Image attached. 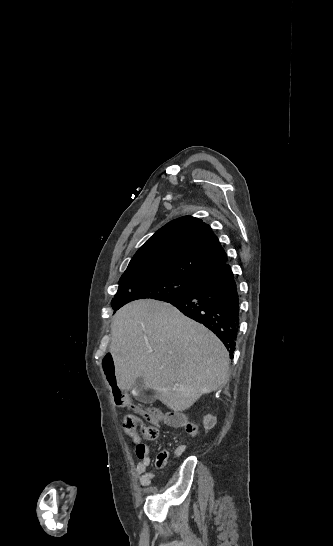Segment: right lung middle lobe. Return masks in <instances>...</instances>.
Returning a JSON list of instances; mask_svg holds the SVG:
<instances>
[{
	"label": "right lung middle lobe",
	"mask_w": 333,
	"mask_h": 546,
	"mask_svg": "<svg viewBox=\"0 0 333 546\" xmlns=\"http://www.w3.org/2000/svg\"><path fill=\"white\" fill-rule=\"evenodd\" d=\"M200 279L170 272H148L122 275L111 305L118 310L130 301L143 298L165 300L192 290Z\"/></svg>",
	"instance_id": "obj_1"
}]
</instances>
